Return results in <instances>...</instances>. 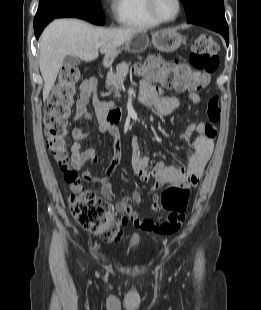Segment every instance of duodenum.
<instances>
[{"label":"duodenum","instance_id":"obj_1","mask_svg":"<svg viewBox=\"0 0 261 310\" xmlns=\"http://www.w3.org/2000/svg\"><path fill=\"white\" fill-rule=\"evenodd\" d=\"M106 65H109V62L106 61L105 63ZM120 117H121V112L118 108H111L110 110H108L107 115H106V122L109 125H115L118 124V122L120 121Z\"/></svg>","mask_w":261,"mask_h":310}]
</instances>
